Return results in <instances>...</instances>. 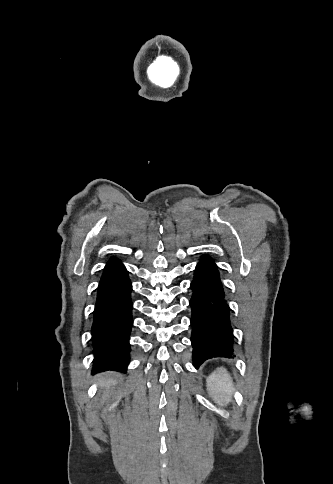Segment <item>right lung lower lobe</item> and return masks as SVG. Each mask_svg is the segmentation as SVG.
I'll list each match as a JSON object with an SVG mask.
<instances>
[{
  "label": "right lung lower lobe",
  "instance_id": "obj_1",
  "mask_svg": "<svg viewBox=\"0 0 333 484\" xmlns=\"http://www.w3.org/2000/svg\"><path fill=\"white\" fill-rule=\"evenodd\" d=\"M131 290L127 270L120 261L111 259L101 277L94 310L93 373L127 370L133 324Z\"/></svg>",
  "mask_w": 333,
  "mask_h": 484
}]
</instances>
